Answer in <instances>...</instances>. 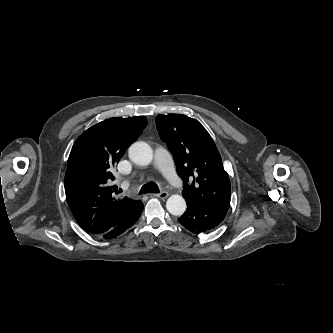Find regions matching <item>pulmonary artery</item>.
Wrapping results in <instances>:
<instances>
[{
	"label": "pulmonary artery",
	"instance_id": "obj_1",
	"mask_svg": "<svg viewBox=\"0 0 333 333\" xmlns=\"http://www.w3.org/2000/svg\"><path fill=\"white\" fill-rule=\"evenodd\" d=\"M154 163L170 183L176 184L179 182V178L174 170L172 160L167 150L158 148L155 151Z\"/></svg>",
	"mask_w": 333,
	"mask_h": 333
}]
</instances>
